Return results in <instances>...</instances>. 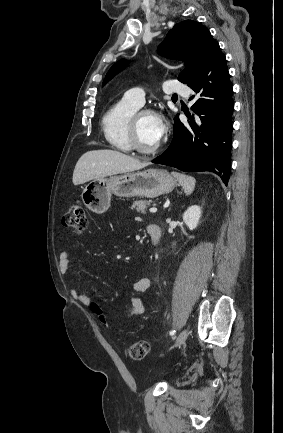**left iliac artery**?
<instances>
[{"label": "left iliac artery", "mask_w": 283, "mask_h": 433, "mask_svg": "<svg viewBox=\"0 0 283 433\" xmlns=\"http://www.w3.org/2000/svg\"><path fill=\"white\" fill-rule=\"evenodd\" d=\"M175 332H176L175 330H171V331H170V335H174Z\"/></svg>", "instance_id": "44dca946"}]
</instances>
